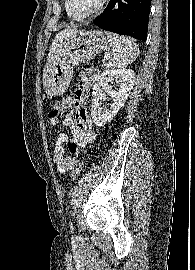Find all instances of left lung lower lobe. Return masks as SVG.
I'll return each instance as SVG.
<instances>
[{
	"mask_svg": "<svg viewBox=\"0 0 195 270\" xmlns=\"http://www.w3.org/2000/svg\"><path fill=\"white\" fill-rule=\"evenodd\" d=\"M150 5L151 0H110L94 24L101 29L146 40Z\"/></svg>",
	"mask_w": 195,
	"mask_h": 270,
	"instance_id": "left-lung-lower-lobe-1",
	"label": "left lung lower lobe"
}]
</instances>
